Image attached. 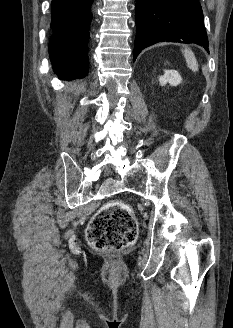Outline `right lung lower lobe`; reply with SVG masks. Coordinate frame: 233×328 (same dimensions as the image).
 <instances>
[{
  "label": "right lung lower lobe",
  "instance_id": "right-lung-lower-lobe-1",
  "mask_svg": "<svg viewBox=\"0 0 233 328\" xmlns=\"http://www.w3.org/2000/svg\"><path fill=\"white\" fill-rule=\"evenodd\" d=\"M93 0H52V36L49 54L54 72L62 80L88 73L87 42Z\"/></svg>",
  "mask_w": 233,
  "mask_h": 328
}]
</instances>
